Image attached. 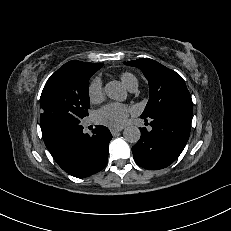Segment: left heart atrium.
I'll return each mask as SVG.
<instances>
[{"label": "left heart atrium", "instance_id": "left-heart-atrium-1", "mask_svg": "<svg viewBox=\"0 0 231 231\" xmlns=\"http://www.w3.org/2000/svg\"><path fill=\"white\" fill-rule=\"evenodd\" d=\"M131 113V109L123 104L109 103L98 110L96 121L110 128L119 129L123 127Z\"/></svg>", "mask_w": 231, "mask_h": 231}]
</instances>
